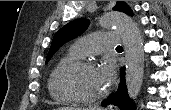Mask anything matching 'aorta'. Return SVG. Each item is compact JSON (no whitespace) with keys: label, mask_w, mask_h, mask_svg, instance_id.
I'll use <instances>...</instances> for the list:
<instances>
[{"label":"aorta","mask_w":171,"mask_h":110,"mask_svg":"<svg viewBox=\"0 0 171 110\" xmlns=\"http://www.w3.org/2000/svg\"><path fill=\"white\" fill-rule=\"evenodd\" d=\"M101 27L115 29L121 36L126 57V86L129 97L136 100L144 76V47L137 24L127 15L109 13L100 19Z\"/></svg>","instance_id":"aorta-1"}]
</instances>
